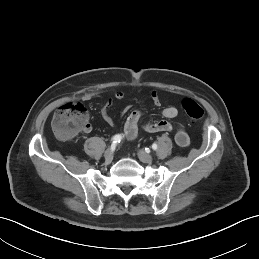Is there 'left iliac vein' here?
<instances>
[{
    "label": "left iliac vein",
    "instance_id": "obj_1",
    "mask_svg": "<svg viewBox=\"0 0 259 259\" xmlns=\"http://www.w3.org/2000/svg\"><path fill=\"white\" fill-rule=\"evenodd\" d=\"M138 158L140 159L141 162L143 163H151L153 160L152 155L146 153L144 150H139L137 152Z\"/></svg>",
    "mask_w": 259,
    "mask_h": 259
}]
</instances>
